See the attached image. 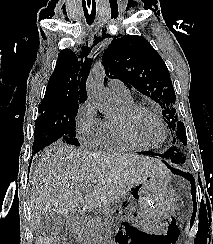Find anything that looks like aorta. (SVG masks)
Listing matches in <instances>:
<instances>
[{
	"label": "aorta",
	"mask_w": 213,
	"mask_h": 244,
	"mask_svg": "<svg viewBox=\"0 0 213 244\" xmlns=\"http://www.w3.org/2000/svg\"><path fill=\"white\" fill-rule=\"evenodd\" d=\"M105 69L101 64L95 65L87 80V93L93 102L106 117L115 114V101L109 96L104 87Z\"/></svg>",
	"instance_id": "obj_1"
}]
</instances>
